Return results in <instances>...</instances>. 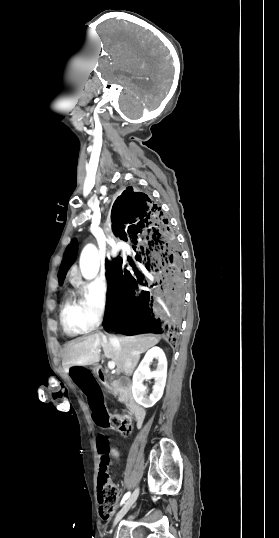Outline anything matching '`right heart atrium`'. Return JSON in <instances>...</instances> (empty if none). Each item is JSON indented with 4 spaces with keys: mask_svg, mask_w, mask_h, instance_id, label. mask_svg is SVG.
<instances>
[{
    "mask_svg": "<svg viewBox=\"0 0 279 538\" xmlns=\"http://www.w3.org/2000/svg\"><path fill=\"white\" fill-rule=\"evenodd\" d=\"M84 301V316L88 330L97 328L109 310V294L107 288L95 281L90 283L82 292Z\"/></svg>",
    "mask_w": 279,
    "mask_h": 538,
    "instance_id": "d8ad5b80",
    "label": "right heart atrium"
}]
</instances>
